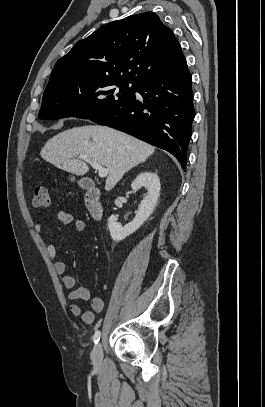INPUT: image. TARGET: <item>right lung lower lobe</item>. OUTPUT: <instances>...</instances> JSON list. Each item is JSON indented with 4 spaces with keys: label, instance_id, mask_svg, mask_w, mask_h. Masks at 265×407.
Returning <instances> with one entry per match:
<instances>
[{
    "label": "right lung lower lobe",
    "instance_id": "right-lung-lower-lobe-1",
    "mask_svg": "<svg viewBox=\"0 0 265 407\" xmlns=\"http://www.w3.org/2000/svg\"><path fill=\"white\" fill-rule=\"evenodd\" d=\"M136 91L141 98L134 97L90 120L167 150L184 169L195 117L192 75L184 55L168 69L142 81Z\"/></svg>",
    "mask_w": 265,
    "mask_h": 407
}]
</instances>
